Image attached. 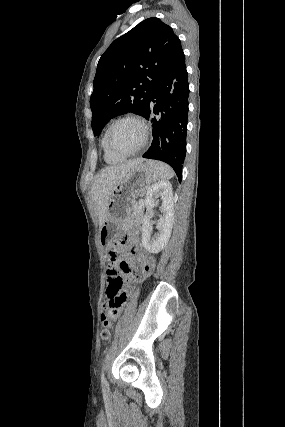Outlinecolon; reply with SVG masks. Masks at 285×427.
I'll use <instances>...</instances> for the list:
<instances>
[{"mask_svg": "<svg viewBox=\"0 0 285 427\" xmlns=\"http://www.w3.org/2000/svg\"><path fill=\"white\" fill-rule=\"evenodd\" d=\"M126 243V238L123 237L114 242L113 246L115 249L109 251L108 259L111 263L119 261L121 258V254L119 249L122 248ZM121 270L125 273H131L130 267L126 262H121ZM151 270V264L146 263L141 267V269L136 273V276L147 274ZM108 274V293L107 297L102 302L103 313L101 316V321L103 325V329L101 331V337L104 340L110 338L112 323L116 319L118 314V309L125 299V295L122 294L120 297L114 296V291H122L124 287V279L118 272L109 268L107 271Z\"/></svg>", "mask_w": 285, "mask_h": 427, "instance_id": "obj_1", "label": "colon"}]
</instances>
